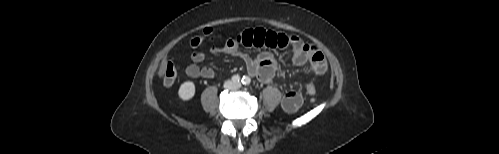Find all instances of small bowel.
<instances>
[{
    "label": "small bowel",
    "instance_id": "1",
    "mask_svg": "<svg viewBox=\"0 0 499 154\" xmlns=\"http://www.w3.org/2000/svg\"><path fill=\"white\" fill-rule=\"evenodd\" d=\"M216 37H209L212 42ZM257 48H283L288 49L292 61L295 65L309 64L317 75H323L328 69L327 61L322 51L311 44L305 43L297 36L276 33L263 28H249L243 30L232 38H229L222 46L212 45L211 54L225 53L239 57L247 68L250 75L258 80L268 83L274 79L276 71V61L272 53L268 50L262 51L256 58L250 57L241 51V47ZM205 55L200 50H195L191 54L192 63L187 66L186 74L190 78L202 77L212 79L215 72L208 66H199ZM303 103L302 95L299 91L288 92L282 99V108L288 113L296 112Z\"/></svg>",
    "mask_w": 499,
    "mask_h": 154
}]
</instances>
